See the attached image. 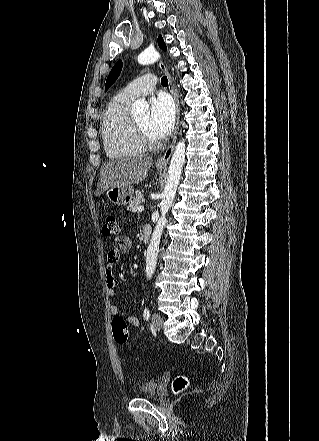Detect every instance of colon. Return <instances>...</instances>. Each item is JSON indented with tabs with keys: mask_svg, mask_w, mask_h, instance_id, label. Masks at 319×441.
I'll return each instance as SVG.
<instances>
[{
	"mask_svg": "<svg viewBox=\"0 0 319 441\" xmlns=\"http://www.w3.org/2000/svg\"><path fill=\"white\" fill-rule=\"evenodd\" d=\"M120 233V225L115 214H109L106 216L103 226L102 234L106 237L117 236ZM112 333L114 340L118 344H124L128 339V327L125 318L121 316H115L112 320ZM188 379L184 375H178L175 377L172 383L174 392L178 393L186 388Z\"/></svg>",
	"mask_w": 319,
	"mask_h": 441,
	"instance_id": "colon-1",
	"label": "colon"
}]
</instances>
